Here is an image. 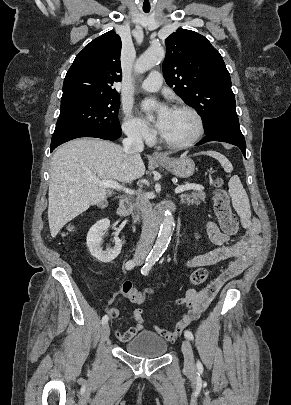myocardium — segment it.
Masks as SVG:
<instances>
[{
    "label": "myocardium",
    "instance_id": "1",
    "mask_svg": "<svg viewBox=\"0 0 291 405\" xmlns=\"http://www.w3.org/2000/svg\"><path fill=\"white\" fill-rule=\"evenodd\" d=\"M172 109L184 110V111H187L188 113H190L195 120L196 131L190 139H188L184 142H171V141L167 140L166 138H164L162 134H160L159 140L164 146L171 148V149L189 148V147L193 146L194 144H196L204 134L205 126H204L203 118L194 107H192L188 104H184V103L175 104L172 107Z\"/></svg>",
    "mask_w": 291,
    "mask_h": 405
}]
</instances>
